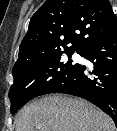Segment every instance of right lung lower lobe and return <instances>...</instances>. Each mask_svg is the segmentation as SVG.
Returning a JSON list of instances; mask_svg holds the SVG:
<instances>
[{
  "mask_svg": "<svg viewBox=\"0 0 117 131\" xmlns=\"http://www.w3.org/2000/svg\"><path fill=\"white\" fill-rule=\"evenodd\" d=\"M78 54L91 66L73 65L62 84L49 93L84 98L112 117L117 126V29L86 45Z\"/></svg>",
  "mask_w": 117,
  "mask_h": 131,
  "instance_id": "obj_1",
  "label": "right lung lower lobe"
}]
</instances>
